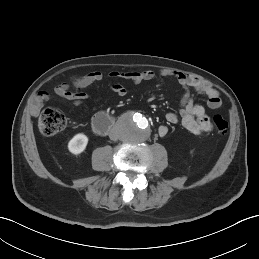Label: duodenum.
<instances>
[{"label":"duodenum","instance_id":"1","mask_svg":"<svg viewBox=\"0 0 259 259\" xmlns=\"http://www.w3.org/2000/svg\"><path fill=\"white\" fill-rule=\"evenodd\" d=\"M113 126V118L106 114H100L92 122V130L96 135L108 133Z\"/></svg>","mask_w":259,"mask_h":259}]
</instances>
